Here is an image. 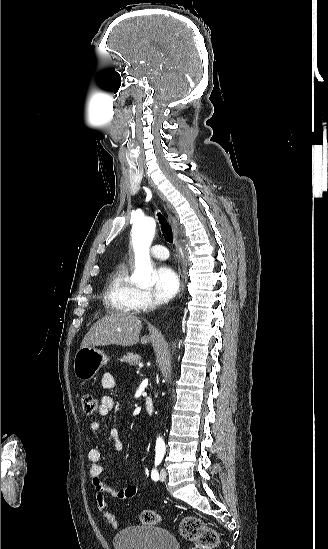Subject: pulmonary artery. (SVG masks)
Returning a JSON list of instances; mask_svg holds the SVG:
<instances>
[{
    "label": "pulmonary artery",
    "instance_id": "1",
    "mask_svg": "<svg viewBox=\"0 0 328 549\" xmlns=\"http://www.w3.org/2000/svg\"><path fill=\"white\" fill-rule=\"evenodd\" d=\"M151 256L156 259L167 258L170 254L168 246H152L150 249Z\"/></svg>",
    "mask_w": 328,
    "mask_h": 549
}]
</instances>
